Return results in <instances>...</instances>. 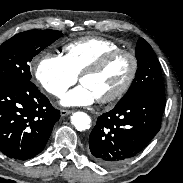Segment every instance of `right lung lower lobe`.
Here are the masks:
<instances>
[{"mask_svg": "<svg viewBox=\"0 0 183 183\" xmlns=\"http://www.w3.org/2000/svg\"><path fill=\"white\" fill-rule=\"evenodd\" d=\"M59 118L60 111L30 80L0 82V151L9 158L39 154Z\"/></svg>", "mask_w": 183, "mask_h": 183, "instance_id": "98d812e1", "label": "right lung lower lobe"}]
</instances>
